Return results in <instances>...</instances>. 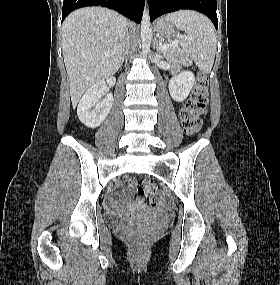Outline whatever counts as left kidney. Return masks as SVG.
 <instances>
[{
    "mask_svg": "<svg viewBox=\"0 0 280 285\" xmlns=\"http://www.w3.org/2000/svg\"><path fill=\"white\" fill-rule=\"evenodd\" d=\"M194 81V75L190 71H183L179 75L172 77L169 82L171 97L177 102L185 100L194 85Z\"/></svg>",
    "mask_w": 280,
    "mask_h": 285,
    "instance_id": "1",
    "label": "left kidney"
}]
</instances>
